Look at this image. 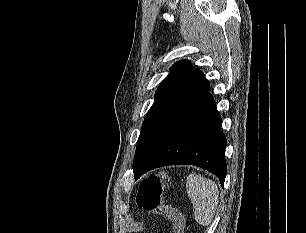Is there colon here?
<instances>
[{
    "label": "colon",
    "mask_w": 306,
    "mask_h": 233,
    "mask_svg": "<svg viewBox=\"0 0 306 233\" xmlns=\"http://www.w3.org/2000/svg\"><path fill=\"white\" fill-rule=\"evenodd\" d=\"M168 186V176L165 171H157L138 186L137 204L146 212L162 216L172 222L175 233H184L186 218L176 207L166 203L164 190Z\"/></svg>",
    "instance_id": "obj_1"
}]
</instances>
